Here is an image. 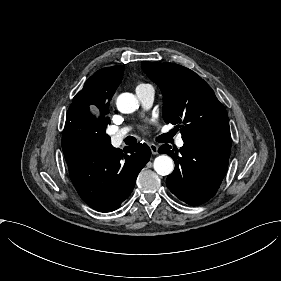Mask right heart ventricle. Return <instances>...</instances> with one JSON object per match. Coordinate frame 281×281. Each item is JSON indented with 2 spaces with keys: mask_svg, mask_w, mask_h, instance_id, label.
Segmentation results:
<instances>
[{
  "mask_svg": "<svg viewBox=\"0 0 281 281\" xmlns=\"http://www.w3.org/2000/svg\"><path fill=\"white\" fill-rule=\"evenodd\" d=\"M140 88H150V87H149L148 85L140 84V85H138V86L136 87V92H137V90L140 89Z\"/></svg>",
  "mask_w": 281,
  "mask_h": 281,
  "instance_id": "1",
  "label": "right heart ventricle"
}]
</instances>
